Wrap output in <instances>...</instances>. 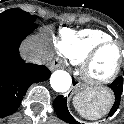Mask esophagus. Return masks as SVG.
<instances>
[{"label":"esophagus","instance_id":"obj_1","mask_svg":"<svg viewBox=\"0 0 124 124\" xmlns=\"http://www.w3.org/2000/svg\"><path fill=\"white\" fill-rule=\"evenodd\" d=\"M59 66H60L59 61H58V60H54V61L51 63V65H50V69H51V70H54V69L58 68Z\"/></svg>","mask_w":124,"mask_h":124}]
</instances>
